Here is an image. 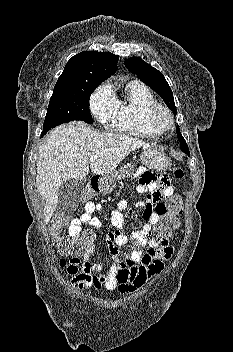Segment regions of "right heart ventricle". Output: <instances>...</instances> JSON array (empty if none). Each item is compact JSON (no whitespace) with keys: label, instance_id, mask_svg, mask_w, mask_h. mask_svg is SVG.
<instances>
[{"label":"right heart ventricle","instance_id":"obj_1","mask_svg":"<svg viewBox=\"0 0 233 352\" xmlns=\"http://www.w3.org/2000/svg\"><path fill=\"white\" fill-rule=\"evenodd\" d=\"M156 104L155 97L145 85L137 81L130 82L126 87L125 99L119 101L116 129L134 136H157L145 121L146 112Z\"/></svg>","mask_w":233,"mask_h":352}]
</instances>
